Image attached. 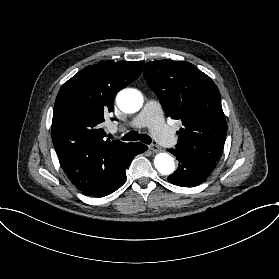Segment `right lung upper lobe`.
I'll list each match as a JSON object with an SVG mask.
<instances>
[{
	"label": "right lung upper lobe",
	"mask_w": 279,
	"mask_h": 279,
	"mask_svg": "<svg viewBox=\"0 0 279 279\" xmlns=\"http://www.w3.org/2000/svg\"><path fill=\"white\" fill-rule=\"evenodd\" d=\"M144 62L106 61L87 66L60 88L53 111L52 141L69 180L96 196L120 172L136 143L106 140L104 110L136 80Z\"/></svg>",
	"instance_id": "1"
}]
</instances>
